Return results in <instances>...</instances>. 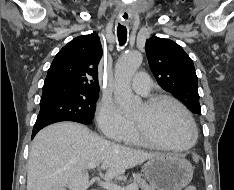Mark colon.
<instances>
[{
	"label": "colon",
	"instance_id": "obj_1",
	"mask_svg": "<svg viewBox=\"0 0 234 190\" xmlns=\"http://www.w3.org/2000/svg\"><path fill=\"white\" fill-rule=\"evenodd\" d=\"M184 190H197L194 186H187Z\"/></svg>",
	"mask_w": 234,
	"mask_h": 190
}]
</instances>
